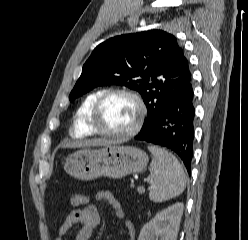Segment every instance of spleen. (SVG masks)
<instances>
[{"label":"spleen","instance_id":"1","mask_svg":"<svg viewBox=\"0 0 248 240\" xmlns=\"http://www.w3.org/2000/svg\"><path fill=\"white\" fill-rule=\"evenodd\" d=\"M153 155L148 182L149 198L156 203L179 196L186 187V175L178 159L169 151L149 145Z\"/></svg>","mask_w":248,"mask_h":240}]
</instances>
